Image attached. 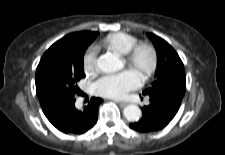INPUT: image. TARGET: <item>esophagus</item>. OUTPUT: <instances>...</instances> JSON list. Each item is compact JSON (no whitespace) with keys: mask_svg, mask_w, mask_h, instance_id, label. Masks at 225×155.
<instances>
[{"mask_svg":"<svg viewBox=\"0 0 225 155\" xmlns=\"http://www.w3.org/2000/svg\"><path fill=\"white\" fill-rule=\"evenodd\" d=\"M117 103L121 106V107H125L128 103L127 102H123V101H117Z\"/></svg>","mask_w":225,"mask_h":155,"instance_id":"1","label":"esophagus"}]
</instances>
